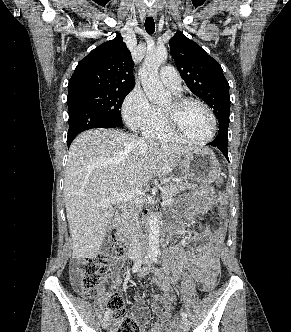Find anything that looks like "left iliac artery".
Here are the masks:
<instances>
[{
  "mask_svg": "<svg viewBox=\"0 0 291 332\" xmlns=\"http://www.w3.org/2000/svg\"><path fill=\"white\" fill-rule=\"evenodd\" d=\"M149 258H151L153 260V262L158 263L157 255L156 254H153ZM181 315H182L183 318H187V313L185 311H182Z\"/></svg>",
  "mask_w": 291,
  "mask_h": 332,
  "instance_id": "obj_1",
  "label": "left iliac artery"
}]
</instances>
